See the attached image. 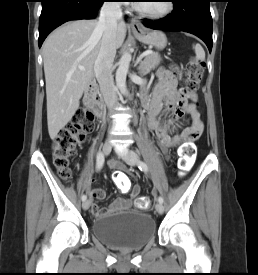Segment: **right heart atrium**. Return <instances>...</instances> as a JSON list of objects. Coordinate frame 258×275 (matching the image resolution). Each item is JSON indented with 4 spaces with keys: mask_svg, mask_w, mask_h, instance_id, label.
<instances>
[{
    "mask_svg": "<svg viewBox=\"0 0 258 275\" xmlns=\"http://www.w3.org/2000/svg\"><path fill=\"white\" fill-rule=\"evenodd\" d=\"M114 2H124V0H113Z\"/></svg>",
    "mask_w": 258,
    "mask_h": 275,
    "instance_id": "obj_1",
    "label": "right heart atrium"
}]
</instances>
